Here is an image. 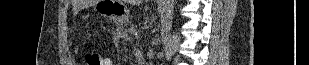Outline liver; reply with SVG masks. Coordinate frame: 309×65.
I'll list each match as a JSON object with an SVG mask.
<instances>
[{
    "mask_svg": "<svg viewBox=\"0 0 309 65\" xmlns=\"http://www.w3.org/2000/svg\"><path fill=\"white\" fill-rule=\"evenodd\" d=\"M125 2H130L132 4H140L142 1L141 0H125Z\"/></svg>",
    "mask_w": 309,
    "mask_h": 65,
    "instance_id": "liver-1",
    "label": "liver"
}]
</instances>
